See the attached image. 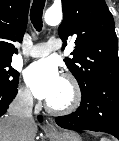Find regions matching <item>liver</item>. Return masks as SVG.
<instances>
[{"label":"liver","instance_id":"6515ba94","mask_svg":"<svg viewBox=\"0 0 119 141\" xmlns=\"http://www.w3.org/2000/svg\"><path fill=\"white\" fill-rule=\"evenodd\" d=\"M36 124L23 129L18 121L10 116L0 118V141H34Z\"/></svg>","mask_w":119,"mask_h":141}]
</instances>
